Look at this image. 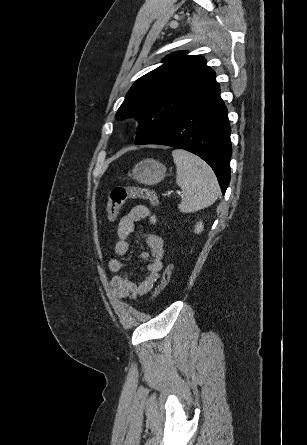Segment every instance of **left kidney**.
<instances>
[{
	"label": "left kidney",
	"instance_id": "1",
	"mask_svg": "<svg viewBox=\"0 0 307 445\" xmlns=\"http://www.w3.org/2000/svg\"><path fill=\"white\" fill-rule=\"evenodd\" d=\"M201 231H203V225L202 223H198L195 227V233H201Z\"/></svg>",
	"mask_w": 307,
	"mask_h": 445
}]
</instances>
